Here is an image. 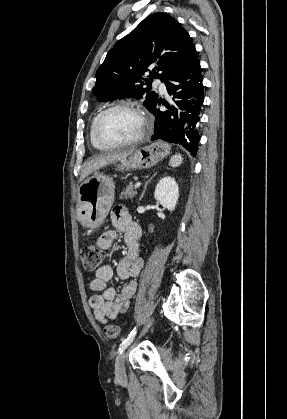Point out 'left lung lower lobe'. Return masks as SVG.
<instances>
[{"label":"left lung lower lobe","instance_id":"0a47b994","mask_svg":"<svg viewBox=\"0 0 287 419\" xmlns=\"http://www.w3.org/2000/svg\"><path fill=\"white\" fill-rule=\"evenodd\" d=\"M164 83L168 94L173 96V102L164 104L168 108L165 112H160L156 108L157 102L150 110L156 119L151 140L179 143L195 156L199 140L196 127L200 120L199 113L204 100L198 58Z\"/></svg>","mask_w":287,"mask_h":419}]
</instances>
